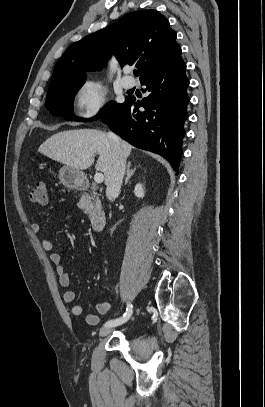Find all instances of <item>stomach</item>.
<instances>
[{"label": "stomach", "instance_id": "1", "mask_svg": "<svg viewBox=\"0 0 265 407\" xmlns=\"http://www.w3.org/2000/svg\"><path fill=\"white\" fill-rule=\"evenodd\" d=\"M85 178L84 173L69 166H63L59 170L60 182L69 189L79 188L84 183Z\"/></svg>", "mask_w": 265, "mask_h": 407}]
</instances>
